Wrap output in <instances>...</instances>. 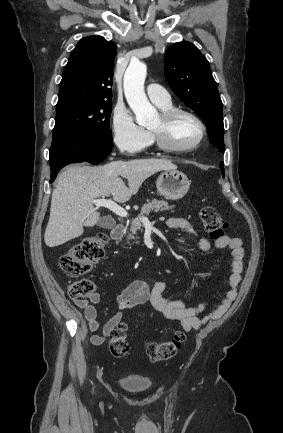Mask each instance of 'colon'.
Masks as SVG:
<instances>
[{
	"instance_id": "colon-1",
	"label": "colon",
	"mask_w": 283,
	"mask_h": 433,
	"mask_svg": "<svg viewBox=\"0 0 283 433\" xmlns=\"http://www.w3.org/2000/svg\"><path fill=\"white\" fill-rule=\"evenodd\" d=\"M200 219L204 230L213 239L223 237L227 223L212 206H205L200 211ZM107 237L103 233L89 236L73 245L60 258L61 269L71 276H82L88 273L92 266L100 260L105 252ZM94 291V284L88 279L73 282L68 288L72 299H84ZM185 335L178 331L167 341L156 343L147 342L145 351L152 362L168 360L181 348ZM109 349L116 358L129 355L130 346L127 340V326L120 323L110 334Z\"/></svg>"
}]
</instances>
